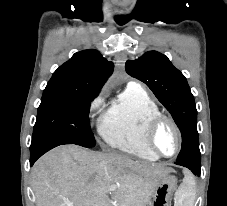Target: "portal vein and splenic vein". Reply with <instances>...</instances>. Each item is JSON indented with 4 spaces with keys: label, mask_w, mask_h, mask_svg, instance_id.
Instances as JSON below:
<instances>
[{
    "label": "portal vein and splenic vein",
    "mask_w": 227,
    "mask_h": 206,
    "mask_svg": "<svg viewBox=\"0 0 227 206\" xmlns=\"http://www.w3.org/2000/svg\"><path fill=\"white\" fill-rule=\"evenodd\" d=\"M116 187L115 186H110L109 187V191H112V190H114ZM68 206H73L72 204H68Z\"/></svg>",
    "instance_id": "portal-vein-and-splenic-vein-1"
}]
</instances>
